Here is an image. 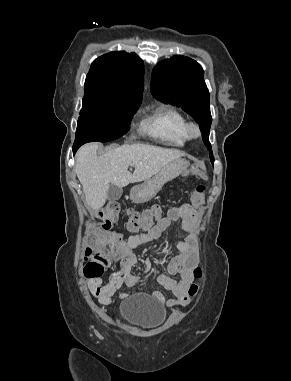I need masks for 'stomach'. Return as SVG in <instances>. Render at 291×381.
Listing matches in <instances>:
<instances>
[{
	"mask_svg": "<svg viewBox=\"0 0 291 381\" xmlns=\"http://www.w3.org/2000/svg\"><path fill=\"white\" fill-rule=\"evenodd\" d=\"M189 166L185 159H175L166 165L154 177L145 180L142 184L136 185L131 189L130 198L134 203H144L156 196L163 185L184 173Z\"/></svg>",
	"mask_w": 291,
	"mask_h": 381,
	"instance_id": "obj_1",
	"label": "stomach"
}]
</instances>
